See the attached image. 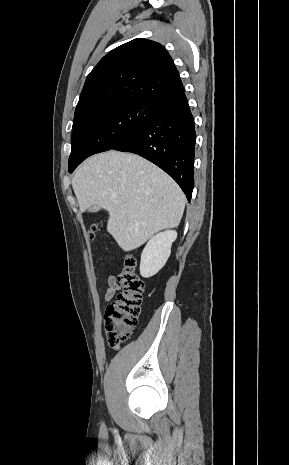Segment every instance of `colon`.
<instances>
[{"label": "colon", "instance_id": "obj_1", "mask_svg": "<svg viewBox=\"0 0 289 465\" xmlns=\"http://www.w3.org/2000/svg\"><path fill=\"white\" fill-rule=\"evenodd\" d=\"M96 230L97 226L92 225L88 231L89 239L94 238ZM135 269V258L127 255L117 276L121 290L108 305L104 315L106 341L112 349H118L126 342L138 324L144 283Z\"/></svg>", "mask_w": 289, "mask_h": 465}]
</instances>
